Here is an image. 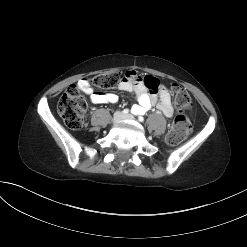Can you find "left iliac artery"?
Instances as JSON below:
<instances>
[{
	"label": "left iliac artery",
	"mask_w": 247,
	"mask_h": 247,
	"mask_svg": "<svg viewBox=\"0 0 247 247\" xmlns=\"http://www.w3.org/2000/svg\"><path fill=\"white\" fill-rule=\"evenodd\" d=\"M138 119H139L140 122L144 121V118L142 116H139Z\"/></svg>",
	"instance_id": "left-iliac-artery-1"
}]
</instances>
